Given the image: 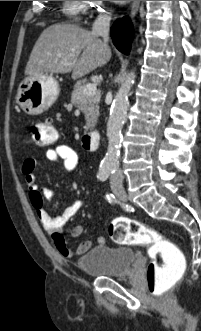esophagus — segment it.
Instances as JSON below:
<instances>
[{
    "label": "esophagus",
    "instance_id": "obj_1",
    "mask_svg": "<svg viewBox=\"0 0 201 331\" xmlns=\"http://www.w3.org/2000/svg\"><path fill=\"white\" fill-rule=\"evenodd\" d=\"M139 3L140 1H133L132 6H131V11H130V16L132 20L135 19L138 9H139Z\"/></svg>",
    "mask_w": 201,
    "mask_h": 331
}]
</instances>
